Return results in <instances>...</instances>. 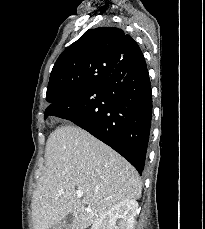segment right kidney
Listing matches in <instances>:
<instances>
[{
  "instance_id": "obj_1",
  "label": "right kidney",
  "mask_w": 205,
  "mask_h": 229,
  "mask_svg": "<svg viewBox=\"0 0 205 229\" xmlns=\"http://www.w3.org/2000/svg\"><path fill=\"white\" fill-rule=\"evenodd\" d=\"M137 210L135 200L121 201L96 219L91 229H133Z\"/></svg>"
}]
</instances>
